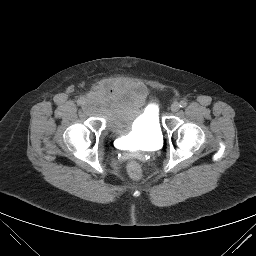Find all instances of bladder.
<instances>
[{"instance_id": "bladder-1", "label": "bladder", "mask_w": 256, "mask_h": 256, "mask_svg": "<svg viewBox=\"0 0 256 256\" xmlns=\"http://www.w3.org/2000/svg\"><path fill=\"white\" fill-rule=\"evenodd\" d=\"M88 101L105 118L106 130L123 137L127 144L151 148L162 142L158 108L143 85L121 83L113 91L104 85L93 91Z\"/></svg>"}]
</instances>
